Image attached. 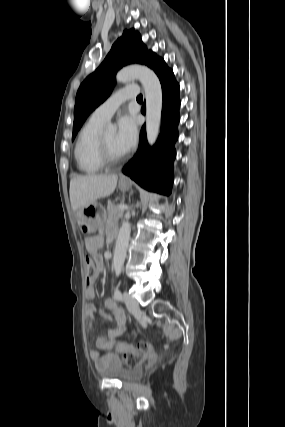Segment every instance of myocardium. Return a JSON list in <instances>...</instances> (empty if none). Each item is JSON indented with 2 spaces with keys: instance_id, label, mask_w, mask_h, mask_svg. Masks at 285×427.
<instances>
[{
  "instance_id": "f54148a6",
  "label": "myocardium",
  "mask_w": 285,
  "mask_h": 427,
  "mask_svg": "<svg viewBox=\"0 0 285 427\" xmlns=\"http://www.w3.org/2000/svg\"><path fill=\"white\" fill-rule=\"evenodd\" d=\"M97 156L103 166H113L126 159V155L113 156L107 146L104 133L101 132L97 142Z\"/></svg>"
}]
</instances>
